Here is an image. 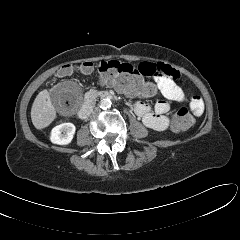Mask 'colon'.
Masks as SVG:
<instances>
[{
	"mask_svg": "<svg viewBox=\"0 0 240 240\" xmlns=\"http://www.w3.org/2000/svg\"><path fill=\"white\" fill-rule=\"evenodd\" d=\"M79 70L84 74L98 73L105 83L112 84L119 91L128 95L152 97L156 94V86L144 79L138 66L116 60L103 61L99 64L91 62L80 66L64 65L59 76H67ZM193 117L186 108H180L172 118V128L175 131H184L193 124Z\"/></svg>",
	"mask_w": 240,
	"mask_h": 240,
	"instance_id": "1",
	"label": "colon"
}]
</instances>
